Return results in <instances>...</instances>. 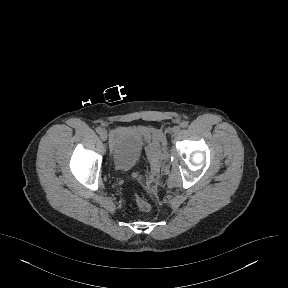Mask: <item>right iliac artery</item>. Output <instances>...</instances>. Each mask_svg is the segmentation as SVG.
<instances>
[{
	"label": "right iliac artery",
	"instance_id": "82829eb1",
	"mask_svg": "<svg viewBox=\"0 0 288 288\" xmlns=\"http://www.w3.org/2000/svg\"><path fill=\"white\" fill-rule=\"evenodd\" d=\"M102 131H103V129H102L101 127H97V128H96V132H97L98 134H100Z\"/></svg>",
	"mask_w": 288,
	"mask_h": 288
}]
</instances>
